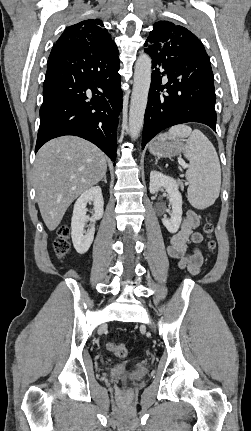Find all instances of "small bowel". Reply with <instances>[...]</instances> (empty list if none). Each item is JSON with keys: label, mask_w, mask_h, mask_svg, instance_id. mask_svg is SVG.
<instances>
[{"label": "small bowel", "mask_w": 251, "mask_h": 431, "mask_svg": "<svg viewBox=\"0 0 251 431\" xmlns=\"http://www.w3.org/2000/svg\"><path fill=\"white\" fill-rule=\"evenodd\" d=\"M199 217L189 210L183 220L180 230L175 233L168 246V255L177 261L180 269H187L192 275L199 273L203 264V255L199 248L203 237L196 231L199 226Z\"/></svg>", "instance_id": "obj_1"}]
</instances>
